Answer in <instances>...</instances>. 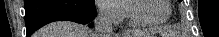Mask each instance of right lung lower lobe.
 Masks as SVG:
<instances>
[{"label": "right lung lower lobe", "instance_id": "obj_1", "mask_svg": "<svg viewBox=\"0 0 219 37\" xmlns=\"http://www.w3.org/2000/svg\"><path fill=\"white\" fill-rule=\"evenodd\" d=\"M27 37L53 21L89 24L96 16L93 0H25Z\"/></svg>", "mask_w": 219, "mask_h": 37}]
</instances>
